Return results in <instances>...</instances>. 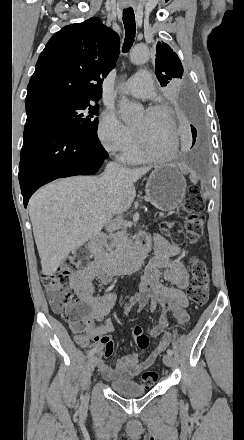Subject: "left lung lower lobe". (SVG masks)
<instances>
[{
    "label": "left lung lower lobe",
    "instance_id": "obj_1",
    "mask_svg": "<svg viewBox=\"0 0 244 440\" xmlns=\"http://www.w3.org/2000/svg\"><path fill=\"white\" fill-rule=\"evenodd\" d=\"M180 105L182 107V110L188 117V119L191 120L194 124H197V112L193 98L190 95L184 96L180 102ZM191 132L193 136V145H194L196 142L197 130L193 125H191Z\"/></svg>",
    "mask_w": 244,
    "mask_h": 440
}]
</instances>
